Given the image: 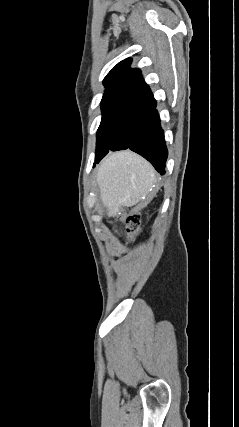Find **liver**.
Instances as JSON below:
<instances>
[{"label": "liver", "instance_id": "1", "mask_svg": "<svg viewBox=\"0 0 239 427\" xmlns=\"http://www.w3.org/2000/svg\"><path fill=\"white\" fill-rule=\"evenodd\" d=\"M155 182L149 162L129 150L108 156L97 172L101 201L108 217L116 216L121 207H131L140 201L146 205Z\"/></svg>", "mask_w": 239, "mask_h": 427}]
</instances>
